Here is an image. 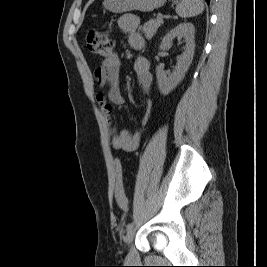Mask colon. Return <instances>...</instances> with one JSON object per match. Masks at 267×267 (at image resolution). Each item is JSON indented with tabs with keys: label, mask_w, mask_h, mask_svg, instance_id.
Listing matches in <instances>:
<instances>
[{
	"label": "colon",
	"mask_w": 267,
	"mask_h": 267,
	"mask_svg": "<svg viewBox=\"0 0 267 267\" xmlns=\"http://www.w3.org/2000/svg\"><path fill=\"white\" fill-rule=\"evenodd\" d=\"M87 47L90 52L102 58L110 59L114 55V43L104 30L93 29L90 30L86 37ZM115 174V198L118 206L127 211L129 209V201L125 195L123 187V172L120 160L116 159L114 162Z\"/></svg>",
	"instance_id": "5ec220e1"
}]
</instances>
